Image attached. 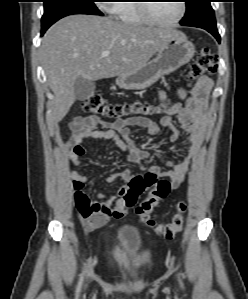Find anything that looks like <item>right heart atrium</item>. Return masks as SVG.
<instances>
[{"mask_svg":"<svg viewBox=\"0 0 248 299\" xmlns=\"http://www.w3.org/2000/svg\"><path fill=\"white\" fill-rule=\"evenodd\" d=\"M113 4L112 3H106V4L104 3L103 4L104 6L102 8L105 9V10H107V11H109V12H112V8L111 7H112Z\"/></svg>","mask_w":248,"mask_h":299,"instance_id":"1","label":"right heart atrium"}]
</instances>
